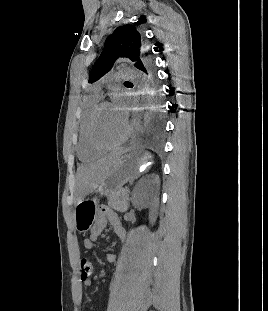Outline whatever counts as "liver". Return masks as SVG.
<instances>
[{
  "mask_svg": "<svg viewBox=\"0 0 268 311\" xmlns=\"http://www.w3.org/2000/svg\"><path fill=\"white\" fill-rule=\"evenodd\" d=\"M124 152V149H120L94 163L82 166L78 169L76 178L77 204L96 190L99 184L109 174L113 164L122 154H124Z\"/></svg>",
  "mask_w": 268,
  "mask_h": 311,
  "instance_id": "1",
  "label": "liver"
}]
</instances>
